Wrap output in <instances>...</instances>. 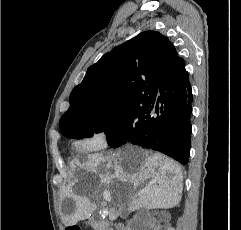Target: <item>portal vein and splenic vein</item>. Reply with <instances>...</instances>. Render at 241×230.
Wrapping results in <instances>:
<instances>
[{"instance_id": "1", "label": "portal vein and splenic vein", "mask_w": 241, "mask_h": 230, "mask_svg": "<svg viewBox=\"0 0 241 230\" xmlns=\"http://www.w3.org/2000/svg\"><path fill=\"white\" fill-rule=\"evenodd\" d=\"M103 198H104L106 201H110V200H111L110 195L107 194V193H105V194L103 195Z\"/></svg>"}]
</instances>
